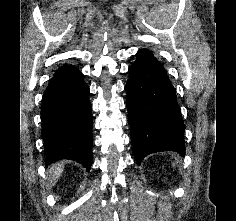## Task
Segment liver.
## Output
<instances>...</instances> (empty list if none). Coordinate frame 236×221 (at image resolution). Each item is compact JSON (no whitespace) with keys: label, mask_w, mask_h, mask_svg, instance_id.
<instances>
[{"label":"liver","mask_w":236,"mask_h":221,"mask_svg":"<svg viewBox=\"0 0 236 221\" xmlns=\"http://www.w3.org/2000/svg\"><path fill=\"white\" fill-rule=\"evenodd\" d=\"M63 170H64L63 163L58 162L52 165L49 171V186L50 187L55 185L56 181L60 178Z\"/></svg>","instance_id":"liver-1"}]
</instances>
